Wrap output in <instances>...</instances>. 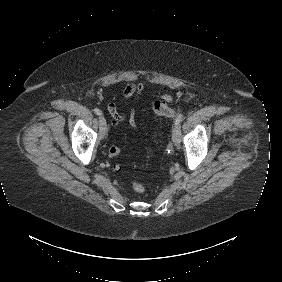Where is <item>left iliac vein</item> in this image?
I'll use <instances>...</instances> for the list:
<instances>
[{
  "label": "left iliac vein",
  "mask_w": 282,
  "mask_h": 282,
  "mask_svg": "<svg viewBox=\"0 0 282 282\" xmlns=\"http://www.w3.org/2000/svg\"><path fill=\"white\" fill-rule=\"evenodd\" d=\"M172 141L175 146H179L181 142V130H180V124L175 125L172 131Z\"/></svg>",
  "instance_id": "obj_1"
}]
</instances>
